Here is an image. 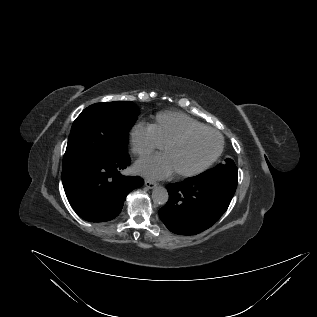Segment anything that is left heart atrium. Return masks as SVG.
Here are the masks:
<instances>
[{
    "label": "left heart atrium",
    "instance_id": "39dd6f15",
    "mask_svg": "<svg viewBox=\"0 0 317 317\" xmlns=\"http://www.w3.org/2000/svg\"><path fill=\"white\" fill-rule=\"evenodd\" d=\"M137 172L154 177L165 178L173 173V168L165 154L148 157L135 165Z\"/></svg>",
    "mask_w": 317,
    "mask_h": 317
}]
</instances>
